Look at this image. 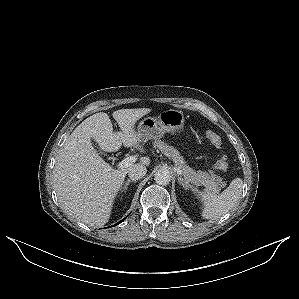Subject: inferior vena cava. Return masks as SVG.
<instances>
[{
    "instance_id": "1",
    "label": "inferior vena cava",
    "mask_w": 299,
    "mask_h": 299,
    "mask_svg": "<svg viewBox=\"0 0 299 299\" xmlns=\"http://www.w3.org/2000/svg\"><path fill=\"white\" fill-rule=\"evenodd\" d=\"M146 172H147L146 166H144L143 164H135L129 168L128 175L130 179L136 181L138 179L143 178Z\"/></svg>"
}]
</instances>
